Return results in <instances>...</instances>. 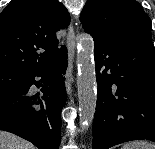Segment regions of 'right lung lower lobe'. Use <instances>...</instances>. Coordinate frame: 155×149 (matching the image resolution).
Listing matches in <instances>:
<instances>
[{"label":"right lung lower lobe","mask_w":155,"mask_h":149,"mask_svg":"<svg viewBox=\"0 0 155 149\" xmlns=\"http://www.w3.org/2000/svg\"><path fill=\"white\" fill-rule=\"evenodd\" d=\"M67 52L49 67L28 75L20 92L0 93V130L14 133L38 149H58L61 140V109L66 102L63 74L67 68ZM42 77L43 96L29 94L31 85L39 87Z\"/></svg>","instance_id":"98d812e1"}]
</instances>
